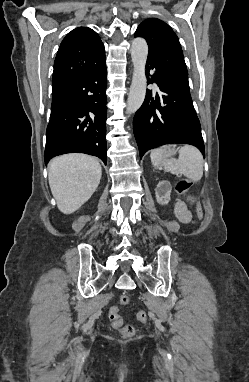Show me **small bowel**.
I'll return each instance as SVG.
<instances>
[{
	"instance_id": "small-bowel-1",
	"label": "small bowel",
	"mask_w": 249,
	"mask_h": 382,
	"mask_svg": "<svg viewBox=\"0 0 249 382\" xmlns=\"http://www.w3.org/2000/svg\"><path fill=\"white\" fill-rule=\"evenodd\" d=\"M176 215L178 219L183 223L190 222L192 218L190 212L184 207V205L181 202H178L176 204Z\"/></svg>"
}]
</instances>
